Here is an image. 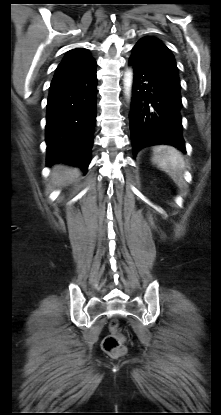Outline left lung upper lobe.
<instances>
[{
  "instance_id": "5c2ea615",
  "label": "left lung upper lobe",
  "mask_w": 221,
  "mask_h": 415,
  "mask_svg": "<svg viewBox=\"0 0 221 415\" xmlns=\"http://www.w3.org/2000/svg\"><path fill=\"white\" fill-rule=\"evenodd\" d=\"M131 58L144 62L180 83L178 68L171 51L154 37H143L132 49Z\"/></svg>"
}]
</instances>
